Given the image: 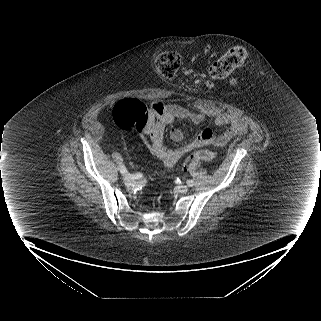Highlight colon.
I'll use <instances>...</instances> for the list:
<instances>
[{
  "instance_id": "5ec220e1",
  "label": "colon",
  "mask_w": 321,
  "mask_h": 321,
  "mask_svg": "<svg viewBox=\"0 0 321 321\" xmlns=\"http://www.w3.org/2000/svg\"><path fill=\"white\" fill-rule=\"evenodd\" d=\"M247 50L243 46L229 49L221 58L209 68V76L213 79H223L240 67L246 60ZM181 65V57L173 51H163L155 55L154 67L163 78H172L176 75ZM114 123L123 130H144L148 122V109L144 103L136 99H127L118 103L113 110ZM211 134L207 132L206 138L201 140V145H210ZM215 154L207 149H199L192 153L185 163L183 170L187 169L191 161H212Z\"/></svg>"
}]
</instances>
